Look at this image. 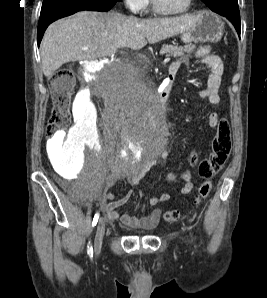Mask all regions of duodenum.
Returning <instances> with one entry per match:
<instances>
[{
	"mask_svg": "<svg viewBox=\"0 0 267 298\" xmlns=\"http://www.w3.org/2000/svg\"><path fill=\"white\" fill-rule=\"evenodd\" d=\"M175 73L169 70L168 83L166 87L156 95V100H154V105H159V109H164V105H167V100H165L169 94L171 84L174 80Z\"/></svg>",
	"mask_w": 267,
	"mask_h": 298,
	"instance_id": "410a0bca",
	"label": "duodenum"
}]
</instances>
